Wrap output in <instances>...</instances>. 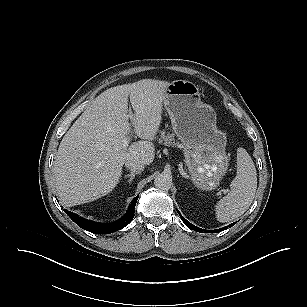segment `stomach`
<instances>
[{
	"label": "stomach",
	"mask_w": 307,
	"mask_h": 307,
	"mask_svg": "<svg viewBox=\"0 0 307 307\" xmlns=\"http://www.w3.org/2000/svg\"><path fill=\"white\" fill-rule=\"evenodd\" d=\"M163 103L173 131L182 142L184 161L194 184L202 190L216 189L229 159L226 135L216 126L214 109L201 101L198 86L186 80L171 82Z\"/></svg>",
	"instance_id": "0dacf381"
}]
</instances>
